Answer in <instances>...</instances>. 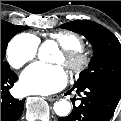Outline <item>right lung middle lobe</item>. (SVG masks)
<instances>
[{
	"label": "right lung middle lobe",
	"instance_id": "dd1d6c3e",
	"mask_svg": "<svg viewBox=\"0 0 121 121\" xmlns=\"http://www.w3.org/2000/svg\"><path fill=\"white\" fill-rule=\"evenodd\" d=\"M26 27L13 25L9 22L1 20V67H8L9 64L4 62L6 47L10 39L18 32L24 30Z\"/></svg>",
	"mask_w": 121,
	"mask_h": 121
}]
</instances>
